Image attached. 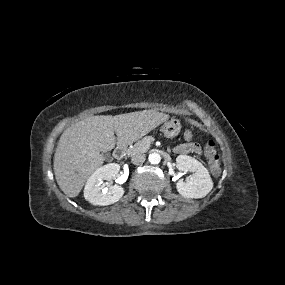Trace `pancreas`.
Returning <instances> with one entry per match:
<instances>
[{"mask_svg":"<svg viewBox=\"0 0 285 285\" xmlns=\"http://www.w3.org/2000/svg\"><path fill=\"white\" fill-rule=\"evenodd\" d=\"M154 141L153 136H146L140 141H138L135 145L128 149V155L134 156L136 154L145 153L148 151L150 144Z\"/></svg>","mask_w":285,"mask_h":285,"instance_id":"obj_1","label":"pancreas"}]
</instances>
